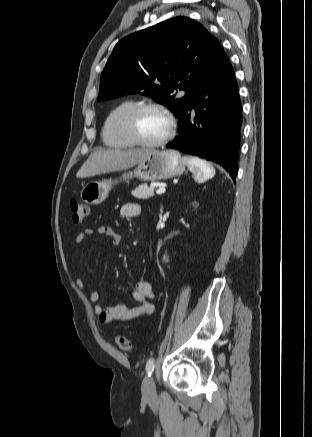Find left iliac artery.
Here are the masks:
<instances>
[{"mask_svg": "<svg viewBox=\"0 0 312 437\" xmlns=\"http://www.w3.org/2000/svg\"><path fill=\"white\" fill-rule=\"evenodd\" d=\"M155 368V361L154 358H149L146 363V372L148 373V376H151Z\"/></svg>", "mask_w": 312, "mask_h": 437, "instance_id": "left-iliac-artery-1", "label": "left iliac artery"}]
</instances>
